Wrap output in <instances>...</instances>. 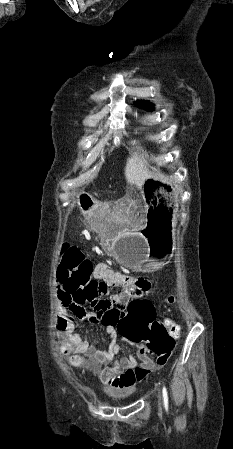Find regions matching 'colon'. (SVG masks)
Listing matches in <instances>:
<instances>
[{
    "label": "colon",
    "mask_w": 233,
    "mask_h": 449,
    "mask_svg": "<svg viewBox=\"0 0 233 449\" xmlns=\"http://www.w3.org/2000/svg\"><path fill=\"white\" fill-rule=\"evenodd\" d=\"M93 271V264L79 248L67 244L63 246L60 276L65 293L71 296L74 303L86 307L96 317L99 315L101 321H106V326L117 328L120 337L127 339V343H134L135 349H149L154 355L170 354L179 330L174 327L168 332L156 319V311L147 301H128L125 308H102V313L99 311L101 308L91 307L99 300L94 295L98 283L93 278ZM174 302L175 297L169 296L167 303L172 305ZM65 321L60 319V325ZM64 353L70 355L68 347L64 348ZM70 361L81 365V360L76 356H71Z\"/></svg>",
    "instance_id": "colon-1"
}]
</instances>
